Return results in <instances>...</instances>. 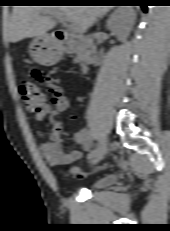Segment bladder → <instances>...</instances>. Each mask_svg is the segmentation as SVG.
Masks as SVG:
<instances>
[{
  "mask_svg": "<svg viewBox=\"0 0 170 231\" xmlns=\"http://www.w3.org/2000/svg\"><path fill=\"white\" fill-rule=\"evenodd\" d=\"M119 179H120L119 174L106 175L102 178L95 180L91 184V189L99 190V189L109 188V187L113 186Z\"/></svg>",
  "mask_w": 170,
  "mask_h": 231,
  "instance_id": "bladder-1",
  "label": "bladder"
}]
</instances>
